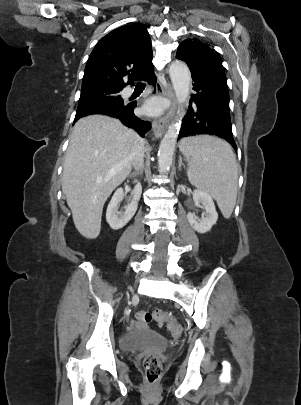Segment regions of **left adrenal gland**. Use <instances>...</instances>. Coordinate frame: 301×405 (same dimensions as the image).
<instances>
[{
	"mask_svg": "<svg viewBox=\"0 0 301 405\" xmlns=\"http://www.w3.org/2000/svg\"><path fill=\"white\" fill-rule=\"evenodd\" d=\"M182 166H184L183 163H182V158L179 157V166H178V169L181 170Z\"/></svg>",
	"mask_w": 301,
	"mask_h": 405,
	"instance_id": "a2214340",
	"label": "left adrenal gland"
}]
</instances>
